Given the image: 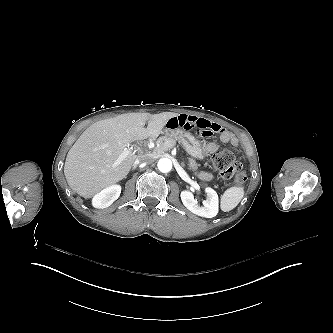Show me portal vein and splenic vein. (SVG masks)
<instances>
[{
    "instance_id": "obj_1",
    "label": "portal vein and splenic vein",
    "mask_w": 333,
    "mask_h": 333,
    "mask_svg": "<svg viewBox=\"0 0 333 333\" xmlns=\"http://www.w3.org/2000/svg\"><path fill=\"white\" fill-rule=\"evenodd\" d=\"M131 153H132L131 149L126 148L123 151V153H121V155L117 158V160L112 164V167L116 168L117 166H119L121 164V162Z\"/></svg>"
}]
</instances>
